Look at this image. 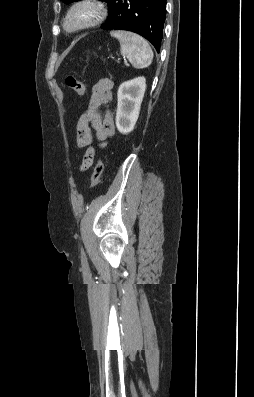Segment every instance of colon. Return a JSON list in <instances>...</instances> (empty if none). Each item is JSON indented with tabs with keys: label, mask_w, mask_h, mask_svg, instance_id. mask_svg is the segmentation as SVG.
<instances>
[{
	"label": "colon",
	"mask_w": 254,
	"mask_h": 397,
	"mask_svg": "<svg viewBox=\"0 0 254 397\" xmlns=\"http://www.w3.org/2000/svg\"><path fill=\"white\" fill-rule=\"evenodd\" d=\"M66 85L72 89L78 97H82L85 93V86L76 75H69L66 78ZM104 164L102 159H99L95 165L92 177L91 186L96 187L101 182Z\"/></svg>",
	"instance_id": "colon-1"
}]
</instances>
